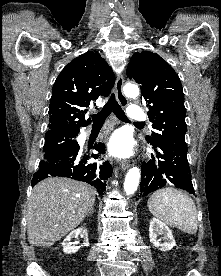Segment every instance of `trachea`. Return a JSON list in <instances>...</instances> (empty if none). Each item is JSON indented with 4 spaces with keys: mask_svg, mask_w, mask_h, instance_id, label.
Wrapping results in <instances>:
<instances>
[{
    "mask_svg": "<svg viewBox=\"0 0 221 276\" xmlns=\"http://www.w3.org/2000/svg\"><path fill=\"white\" fill-rule=\"evenodd\" d=\"M111 112H113L119 120L124 122H129L121 106L118 104L117 100L115 99V95L112 94L108 102L102 108V110L98 114H95L92 116L93 125H103L106 118L111 114ZM134 124H142V123L135 122Z\"/></svg>",
    "mask_w": 221,
    "mask_h": 276,
    "instance_id": "1",
    "label": "trachea"
}]
</instances>
